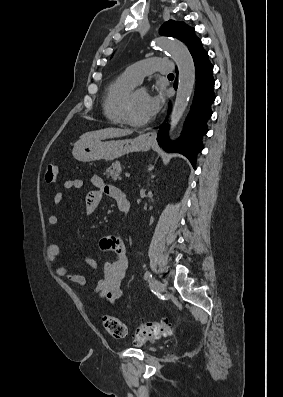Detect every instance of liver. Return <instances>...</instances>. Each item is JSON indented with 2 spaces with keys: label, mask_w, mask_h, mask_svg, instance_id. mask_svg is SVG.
I'll use <instances>...</instances> for the list:
<instances>
[{
  "label": "liver",
  "mask_w": 283,
  "mask_h": 397,
  "mask_svg": "<svg viewBox=\"0 0 283 397\" xmlns=\"http://www.w3.org/2000/svg\"><path fill=\"white\" fill-rule=\"evenodd\" d=\"M133 131L129 129H120V128H105L101 130L86 132L81 135L80 140H92V139H107L114 137H122L132 134Z\"/></svg>",
  "instance_id": "1"
}]
</instances>
